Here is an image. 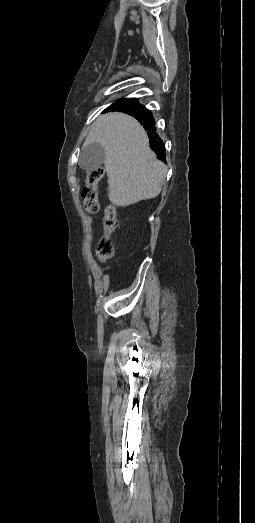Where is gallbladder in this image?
Segmentation results:
<instances>
[{
	"instance_id": "bac80fb5",
	"label": "gallbladder",
	"mask_w": 255,
	"mask_h": 523,
	"mask_svg": "<svg viewBox=\"0 0 255 523\" xmlns=\"http://www.w3.org/2000/svg\"><path fill=\"white\" fill-rule=\"evenodd\" d=\"M105 160V150L98 142L88 144L80 152L78 158V166L82 170H94V168H100Z\"/></svg>"
}]
</instances>
